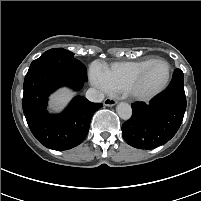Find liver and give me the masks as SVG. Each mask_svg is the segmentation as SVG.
Wrapping results in <instances>:
<instances>
[{"label":"liver","instance_id":"1","mask_svg":"<svg viewBox=\"0 0 201 201\" xmlns=\"http://www.w3.org/2000/svg\"><path fill=\"white\" fill-rule=\"evenodd\" d=\"M73 95L74 94L68 89H62L52 95L50 105L55 109L62 108L73 97Z\"/></svg>","mask_w":201,"mask_h":201}]
</instances>
